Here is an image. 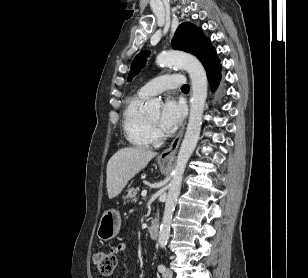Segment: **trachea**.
<instances>
[{
    "label": "trachea",
    "mask_w": 308,
    "mask_h": 278,
    "mask_svg": "<svg viewBox=\"0 0 308 278\" xmlns=\"http://www.w3.org/2000/svg\"><path fill=\"white\" fill-rule=\"evenodd\" d=\"M181 89H182V90H189V86H188L187 84H185V85H183V86L181 87Z\"/></svg>",
    "instance_id": "3493384b"
}]
</instances>
